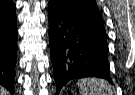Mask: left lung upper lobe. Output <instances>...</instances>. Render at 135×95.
<instances>
[{"mask_svg": "<svg viewBox=\"0 0 135 95\" xmlns=\"http://www.w3.org/2000/svg\"><path fill=\"white\" fill-rule=\"evenodd\" d=\"M49 5L69 16L103 26V19L95 0H49Z\"/></svg>", "mask_w": 135, "mask_h": 95, "instance_id": "left-lung-upper-lobe-1", "label": "left lung upper lobe"}]
</instances>
